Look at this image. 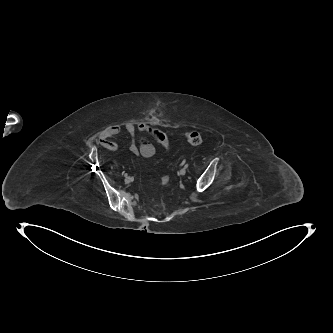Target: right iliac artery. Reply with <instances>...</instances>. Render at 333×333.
Returning <instances> with one entry per match:
<instances>
[{
  "label": "right iliac artery",
  "mask_w": 333,
  "mask_h": 333,
  "mask_svg": "<svg viewBox=\"0 0 333 333\" xmlns=\"http://www.w3.org/2000/svg\"><path fill=\"white\" fill-rule=\"evenodd\" d=\"M123 175L127 178L128 174L123 172ZM126 183H128L126 180H125Z\"/></svg>",
  "instance_id": "82829eb1"
}]
</instances>
